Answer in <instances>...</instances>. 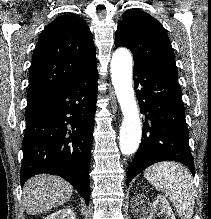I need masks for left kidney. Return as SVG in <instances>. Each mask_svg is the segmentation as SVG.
<instances>
[{
	"instance_id": "5707ae66",
	"label": "left kidney",
	"mask_w": 211,
	"mask_h": 219,
	"mask_svg": "<svg viewBox=\"0 0 211 219\" xmlns=\"http://www.w3.org/2000/svg\"><path fill=\"white\" fill-rule=\"evenodd\" d=\"M158 212L165 215V219H176L169 202L162 195H158L155 201L150 205L144 219H156Z\"/></svg>"
}]
</instances>
